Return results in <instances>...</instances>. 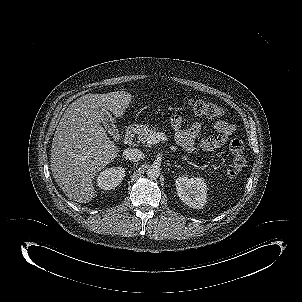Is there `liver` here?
I'll list each match as a JSON object with an SVG mask.
<instances>
[{
    "instance_id": "liver-1",
    "label": "liver",
    "mask_w": 302,
    "mask_h": 302,
    "mask_svg": "<svg viewBox=\"0 0 302 302\" xmlns=\"http://www.w3.org/2000/svg\"><path fill=\"white\" fill-rule=\"evenodd\" d=\"M125 91L86 94L69 105L53 137L50 167L66 196L86 203L95 196L93 179L119 152L101 122L103 111L120 117L131 102Z\"/></svg>"
}]
</instances>
